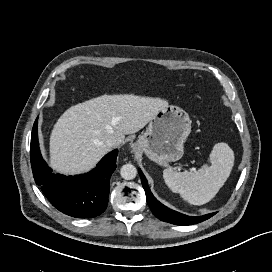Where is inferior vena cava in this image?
<instances>
[{
  "label": "inferior vena cava",
  "mask_w": 272,
  "mask_h": 272,
  "mask_svg": "<svg viewBox=\"0 0 272 272\" xmlns=\"http://www.w3.org/2000/svg\"><path fill=\"white\" fill-rule=\"evenodd\" d=\"M105 144L108 148H112L119 145V141L115 136H110L105 141Z\"/></svg>",
  "instance_id": "1"
}]
</instances>
